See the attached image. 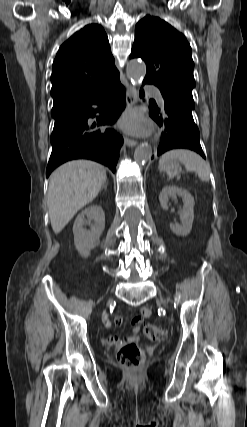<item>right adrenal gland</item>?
Listing matches in <instances>:
<instances>
[{"label": "right adrenal gland", "mask_w": 247, "mask_h": 427, "mask_svg": "<svg viewBox=\"0 0 247 427\" xmlns=\"http://www.w3.org/2000/svg\"><path fill=\"white\" fill-rule=\"evenodd\" d=\"M102 189H107V183H104Z\"/></svg>", "instance_id": "obj_1"}]
</instances>
